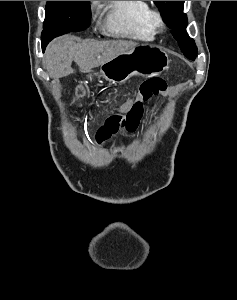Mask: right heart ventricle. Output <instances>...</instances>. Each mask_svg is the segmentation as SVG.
Returning a JSON list of instances; mask_svg holds the SVG:
<instances>
[{
    "instance_id": "1",
    "label": "right heart ventricle",
    "mask_w": 237,
    "mask_h": 300,
    "mask_svg": "<svg viewBox=\"0 0 237 300\" xmlns=\"http://www.w3.org/2000/svg\"><path fill=\"white\" fill-rule=\"evenodd\" d=\"M149 9L147 1H109L103 28L111 35L150 39L153 32L147 21Z\"/></svg>"
}]
</instances>
